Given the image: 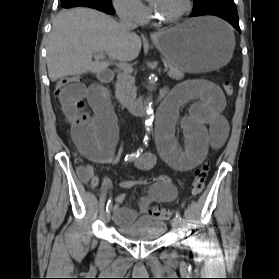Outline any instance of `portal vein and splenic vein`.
I'll use <instances>...</instances> for the list:
<instances>
[{"label": "portal vein and splenic vein", "instance_id": "obj_1", "mask_svg": "<svg viewBox=\"0 0 279 279\" xmlns=\"http://www.w3.org/2000/svg\"><path fill=\"white\" fill-rule=\"evenodd\" d=\"M99 58L100 59H105L106 57L104 56L103 53H100L99 54ZM115 65L122 69L123 71H126V72H132L133 71V68L129 65H127L126 63H123L122 61L118 62V63H115ZM165 70H167V66L165 65Z\"/></svg>", "mask_w": 279, "mask_h": 279}]
</instances>
